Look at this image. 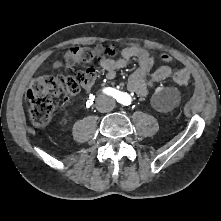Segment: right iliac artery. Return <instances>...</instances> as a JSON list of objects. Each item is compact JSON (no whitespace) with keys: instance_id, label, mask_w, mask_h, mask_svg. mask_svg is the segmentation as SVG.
<instances>
[{"instance_id":"82829eb1","label":"right iliac artery","mask_w":221,"mask_h":221,"mask_svg":"<svg viewBox=\"0 0 221 221\" xmlns=\"http://www.w3.org/2000/svg\"><path fill=\"white\" fill-rule=\"evenodd\" d=\"M103 92H104L105 94H107V95L113 96L114 98H115L116 96H118V94H119V92H118L116 89L111 88V87L105 88V89L103 90Z\"/></svg>"}]
</instances>
